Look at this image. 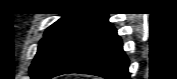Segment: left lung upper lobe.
Returning <instances> with one entry per match:
<instances>
[{"label": "left lung upper lobe", "mask_w": 177, "mask_h": 79, "mask_svg": "<svg viewBox=\"0 0 177 79\" xmlns=\"http://www.w3.org/2000/svg\"><path fill=\"white\" fill-rule=\"evenodd\" d=\"M106 18L107 14H63L46 30L40 41L30 66L31 79H49L70 50Z\"/></svg>", "instance_id": "obj_1"}]
</instances>
